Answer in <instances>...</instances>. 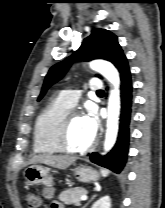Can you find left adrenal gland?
<instances>
[{"instance_id":"a2214340","label":"left adrenal gland","mask_w":165,"mask_h":208,"mask_svg":"<svg viewBox=\"0 0 165 208\" xmlns=\"http://www.w3.org/2000/svg\"><path fill=\"white\" fill-rule=\"evenodd\" d=\"M96 197V195L94 194L91 199L82 207V208H86L87 205H89V203Z\"/></svg>"}]
</instances>
